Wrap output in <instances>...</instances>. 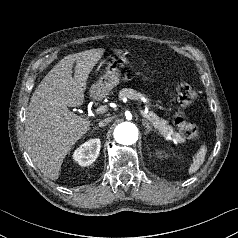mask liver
Returning a JSON list of instances; mask_svg holds the SVG:
<instances>
[{"mask_svg": "<svg viewBox=\"0 0 238 238\" xmlns=\"http://www.w3.org/2000/svg\"><path fill=\"white\" fill-rule=\"evenodd\" d=\"M103 53L104 49H91L65 56L31 97L24 131L26 147L36 166L51 180L59 178L64 158L90 128L89 120L68 107L84 103L88 76Z\"/></svg>", "mask_w": 238, "mask_h": 238, "instance_id": "obj_1", "label": "liver"}]
</instances>
